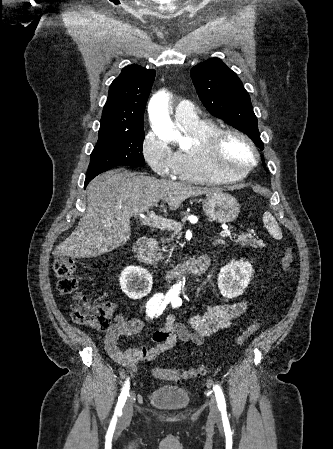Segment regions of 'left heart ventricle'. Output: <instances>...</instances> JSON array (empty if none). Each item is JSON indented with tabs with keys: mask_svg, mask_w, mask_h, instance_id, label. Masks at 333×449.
<instances>
[{
	"mask_svg": "<svg viewBox=\"0 0 333 449\" xmlns=\"http://www.w3.org/2000/svg\"><path fill=\"white\" fill-rule=\"evenodd\" d=\"M253 154L242 141L231 138L223 146L220 165L228 170L238 172L253 161Z\"/></svg>",
	"mask_w": 333,
	"mask_h": 449,
	"instance_id": "obj_1",
	"label": "left heart ventricle"
}]
</instances>
